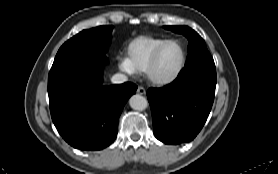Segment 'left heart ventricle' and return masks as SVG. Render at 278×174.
Returning <instances> with one entry per match:
<instances>
[{
  "label": "left heart ventricle",
  "mask_w": 278,
  "mask_h": 174,
  "mask_svg": "<svg viewBox=\"0 0 278 174\" xmlns=\"http://www.w3.org/2000/svg\"><path fill=\"white\" fill-rule=\"evenodd\" d=\"M181 58L180 46L176 43L168 44L163 48L158 57L156 73L160 76L171 75L178 68Z\"/></svg>",
  "instance_id": "b2bd125f"
}]
</instances>
